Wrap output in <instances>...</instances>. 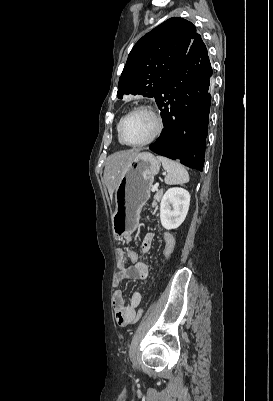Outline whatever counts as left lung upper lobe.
<instances>
[{
  "label": "left lung upper lobe",
  "instance_id": "left-lung-upper-lobe-1",
  "mask_svg": "<svg viewBox=\"0 0 273 401\" xmlns=\"http://www.w3.org/2000/svg\"><path fill=\"white\" fill-rule=\"evenodd\" d=\"M195 26L172 17L144 35L134 45L118 83V98L139 94L156 98L199 38Z\"/></svg>",
  "mask_w": 273,
  "mask_h": 401
}]
</instances>
